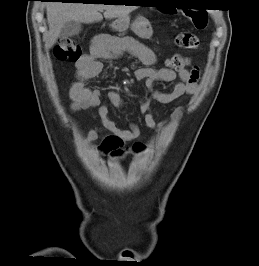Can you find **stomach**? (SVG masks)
Segmentation results:
<instances>
[{"instance_id": "stomach-1", "label": "stomach", "mask_w": 259, "mask_h": 266, "mask_svg": "<svg viewBox=\"0 0 259 266\" xmlns=\"http://www.w3.org/2000/svg\"><path fill=\"white\" fill-rule=\"evenodd\" d=\"M129 25L130 19L128 16H126L118 17L113 23L112 27L119 32H124L129 28ZM131 28L140 38H149L152 35V28L150 26V23L143 17L138 18L131 25Z\"/></svg>"}]
</instances>
